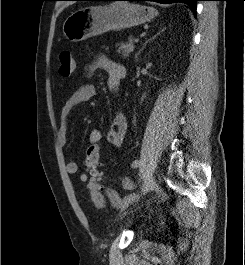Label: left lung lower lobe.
<instances>
[{"instance_id":"obj_1","label":"left lung lower lobe","mask_w":245,"mask_h":265,"mask_svg":"<svg viewBox=\"0 0 245 265\" xmlns=\"http://www.w3.org/2000/svg\"><path fill=\"white\" fill-rule=\"evenodd\" d=\"M89 1H117V0H89ZM122 1H154L158 3H185L190 6L194 14H196V1L200 0H122Z\"/></svg>"}]
</instances>
